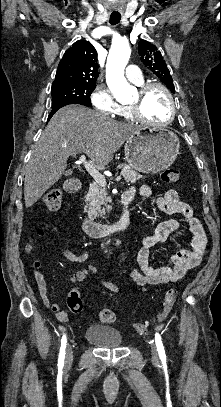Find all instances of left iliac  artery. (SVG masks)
<instances>
[{"instance_id": "left-iliac-artery-1", "label": "left iliac artery", "mask_w": 221, "mask_h": 407, "mask_svg": "<svg viewBox=\"0 0 221 407\" xmlns=\"http://www.w3.org/2000/svg\"><path fill=\"white\" fill-rule=\"evenodd\" d=\"M155 343H156L157 351L159 353V357H160L161 361L166 362V354H165L164 346H163L161 336L159 333L155 334Z\"/></svg>"}]
</instances>
